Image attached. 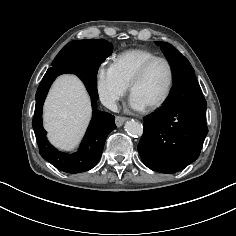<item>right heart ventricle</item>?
<instances>
[{
  "instance_id": "right-heart-ventricle-1",
  "label": "right heart ventricle",
  "mask_w": 236,
  "mask_h": 236,
  "mask_svg": "<svg viewBox=\"0 0 236 236\" xmlns=\"http://www.w3.org/2000/svg\"><path fill=\"white\" fill-rule=\"evenodd\" d=\"M156 56L154 52L144 48L128 49L113 58L112 66L119 78L129 86L141 66Z\"/></svg>"
}]
</instances>
